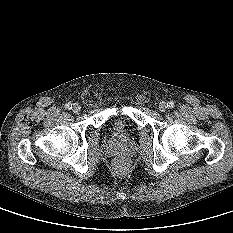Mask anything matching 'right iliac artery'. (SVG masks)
Instances as JSON below:
<instances>
[{"instance_id":"obj_1","label":"right iliac artery","mask_w":233,"mask_h":233,"mask_svg":"<svg viewBox=\"0 0 233 233\" xmlns=\"http://www.w3.org/2000/svg\"><path fill=\"white\" fill-rule=\"evenodd\" d=\"M65 107H66V109L70 110V109H72V104L71 103H67L65 105Z\"/></svg>"}]
</instances>
